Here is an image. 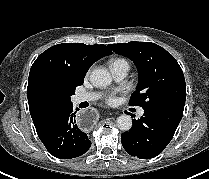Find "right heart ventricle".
I'll list each match as a JSON object with an SVG mask.
<instances>
[{
	"mask_svg": "<svg viewBox=\"0 0 209 179\" xmlns=\"http://www.w3.org/2000/svg\"><path fill=\"white\" fill-rule=\"evenodd\" d=\"M120 60H121V61H125V60H123V59H117V60H115V61H120ZM113 62H114V61H113Z\"/></svg>",
	"mask_w": 209,
	"mask_h": 179,
	"instance_id": "1",
	"label": "right heart ventricle"
}]
</instances>
